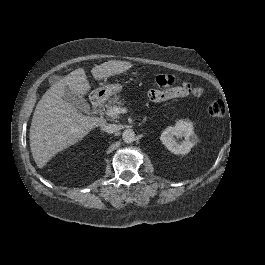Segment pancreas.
I'll list each match as a JSON object with an SVG mask.
<instances>
[{"instance_id": "obj_1", "label": "pancreas", "mask_w": 265, "mask_h": 265, "mask_svg": "<svg viewBox=\"0 0 265 265\" xmlns=\"http://www.w3.org/2000/svg\"><path fill=\"white\" fill-rule=\"evenodd\" d=\"M120 98V95H114V97L108 100L107 104L104 106L106 113L109 112L113 107L124 104V101H121Z\"/></svg>"}]
</instances>
